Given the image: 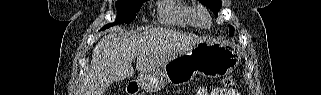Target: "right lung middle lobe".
Here are the masks:
<instances>
[{"instance_id": "1", "label": "right lung middle lobe", "mask_w": 321, "mask_h": 95, "mask_svg": "<svg viewBox=\"0 0 321 95\" xmlns=\"http://www.w3.org/2000/svg\"><path fill=\"white\" fill-rule=\"evenodd\" d=\"M146 0H118L116 8L118 9L117 18L115 24L119 23H131L136 17L138 12ZM113 23L105 25L102 29L109 28Z\"/></svg>"}]
</instances>
